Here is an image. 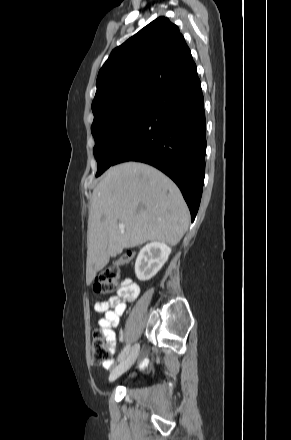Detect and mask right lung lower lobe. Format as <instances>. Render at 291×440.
<instances>
[{
    "label": "right lung lower lobe",
    "mask_w": 291,
    "mask_h": 440,
    "mask_svg": "<svg viewBox=\"0 0 291 440\" xmlns=\"http://www.w3.org/2000/svg\"><path fill=\"white\" fill-rule=\"evenodd\" d=\"M205 133L203 94L195 69L154 97L142 124L112 165L138 161L164 172L180 188L194 221L205 175Z\"/></svg>",
    "instance_id": "obj_1"
}]
</instances>
